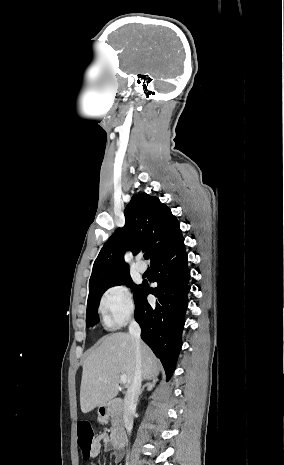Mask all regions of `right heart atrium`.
I'll return each mask as SVG.
<instances>
[{
	"label": "right heart atrium",
	"instance_id": "obj_1",
	"mask_svg": "<svg viewBox=\"0 0 284 465\" xmlns=\"http://www.w3.org/2000/svg\"><path fill=\"white\" fill-rule=\"evenodd\" d=\"M99 310L110 324H127L136 315V306L130 290L125 285H115L105 290L99 299Z\"/></svg>",
	"mask_w": 284,
	"mask_h": 465
}]
</instances>
